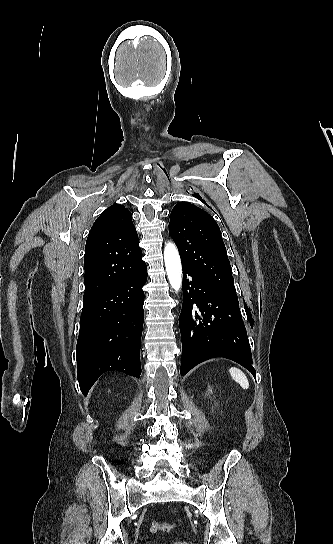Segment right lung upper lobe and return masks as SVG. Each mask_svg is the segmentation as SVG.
Returning <instances> with one entry per match:
<instances>
[{
	"label": "right lung upper lobe",
	"mask_w": 333,
	"mask_h": 544,
	"mask_svg": "<svg viewBox=\"0 0 333 544\" xmlns=\"http://www.w3.org/2000/svg\"><path fill=\"white\" fill-rule=\"evenodd\" d=\"M143 264L132 215L123 205L113 204L97 218L87 238L83 301L109 291Z\"/></svg>",
	"instance_id": "right-lung-upper-lobe-1"
}]
</instances>
